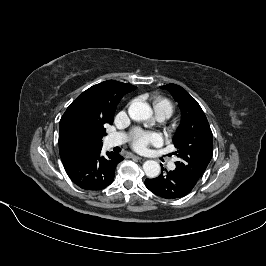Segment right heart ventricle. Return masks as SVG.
Segmentation results:
<instances>
[{
  "label": "right heart ventricle",
  "instance_id": "right-heart-ventricle-1",
  "mask_svg": "<svg viewBox=\"0 0 266 266\" xmlns=\"http://www.w3.org/2000/svg\"><path fill=\"white\" fill-rule=\"evenodd\" d=\"M153 106L156 113L157 112L164 113L168 117L171 116L174 111L173 104L168 99L165 98H160V97L156 98L154 100Z\"/></svg>",
  "mask_w": 266,
  "mask_h": 266
}]
</instances>
